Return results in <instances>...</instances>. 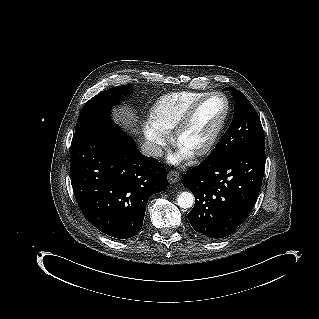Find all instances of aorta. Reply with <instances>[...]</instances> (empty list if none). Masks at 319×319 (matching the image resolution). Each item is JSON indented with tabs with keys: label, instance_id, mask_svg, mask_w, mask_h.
<instances>
[{
	"label": "aorta",
	"instance_id": "1",
	"mask_svg": "<svg viewBox=\"0 0 319 319\" xmlns=\"http://www.w3.org/2000/svg\"><path fill=\"white\" fill-rule=\"evenodd\" d=\"M194 203V196L191 192L184 191L178 195L177 204L183 209L191 208Z\"/></svg>",
	"mask_w": 319,
	"mask_h": 319
}]
</instances>
